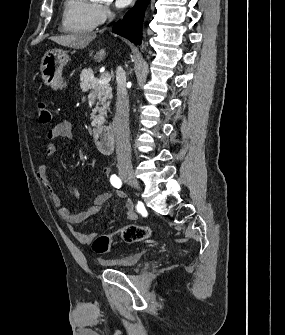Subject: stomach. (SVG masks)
Wrapping results in <instances>:
<instances>
[{
	"label": "stomach",
	"mask_w": 285,
	"mask_h": 335,
	"mask_svg": "<svg viewBox=\"0 0 285 335\" xmlns=\"http://www.w3.org/2000/svg\"><path fill=\"white\" fill-rule=\"evenodd\" d=\"M68 60V52L65 50H49L44 54L40 64V72L45 86H51L53 90L65 88L62 70Z\"/></svg>",
	"instance_id": "1"
}]
</instances>
